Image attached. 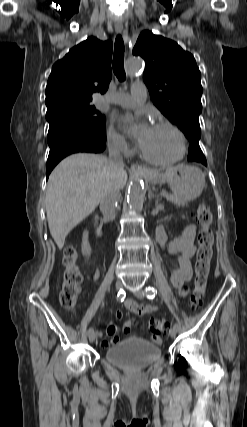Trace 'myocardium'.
Returning <instances> with one entry per match:
<instances>
[{
    "label": "myocardium",
    "instance_id": "f54148a6",
    "mask_svg": "<svg viewBox=\"0 0 247 427\" xmlns=\"http://www.w3.org/2000/svg\"><path fill=\"white\" fill-rule=\"evenodd\" d=\"M154 127H165L170 129L177 137L178 143H179V149L177 154L169 159H156L151 156H149L142 148L140 149V154L144 160L147 162L159 165V166H167L172 165L177 162H179L186 153V138L183 132L173 123L169 121H159L157 124L154 125Z\"/></svg>",
    "mask_w": 247,
    "mask_h": 427
}]
</instances>
